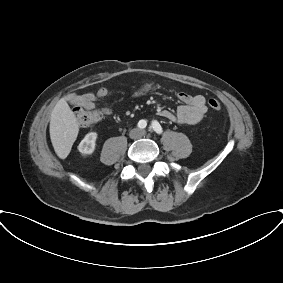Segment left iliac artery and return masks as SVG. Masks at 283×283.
Wrapping results in <instances>:
<instances>
[{"mask_svg":"<svg viewBox=\"0 0 283 283\" xmlns=\"http://www.w3.org/2000/svg\"><path fill=\"white\" fill-rule=\"evenodd\" d=\"M152 129L157 133L161 134L163 132L161 125L157 121L152 122Z\"/></svg>","mask_w":283,"mask_h":283,"instance_id":"left-iliac-artery-1","label":"left iliac artery"}]
</instances>
